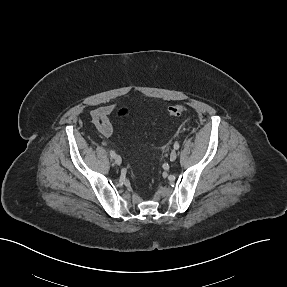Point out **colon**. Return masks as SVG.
<instances>
[{
    "label": "colon",
    "instance_id": "colon-1",
    "mask_svg": "<svg viewBox=\"0 0 287 287\" xmlns=\"http://www.w3.org/2000/svg\"><path fill=\"white\" fill-rule=\"evenodd\" d=\"M188 111V108L185 104L182 103H178V104H174L171 105L168 110H167V115L171 118H176V117H180L184 114H186ZM130 111L128 108H120L117 110L116 115L119 118H123L126 117L127 115H129Z\"/></svg>",
    "mask_w": 287,
    "mask_h": 287
}]
</instances>
